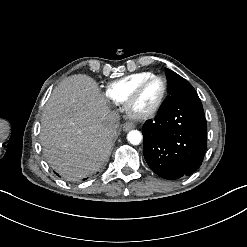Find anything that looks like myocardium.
<instances>
[{
	"mask_svg": "<svg viewBox=\"0 0 247 247\" xmlns=\"http://www.w3.org/2000/svg\"><path fill=\"white\" fill-rule=\"evenodd\" d=\"M157 79L163 83V94L159 101L153 106L151 109L143 112H137L134 109L135 103L139 97V93L141 88L150 80ZM168 82L166 78L162 75L152 74L147 76L146 78L140 80L132 89L131 93L127 96V98L123 102L124 111L131 116L132 118L140 121L148 120L153 118L164 105L167 95H168Z\"/></svg>",
	"mask_w": 247,
	"mask_h": 247,
	"instance_id": "1",
	"label": "myocardium"
}]
</instances>
